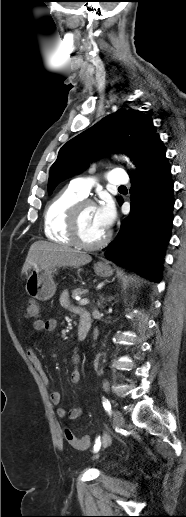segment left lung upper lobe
Masks as SVG:
<instances>
[{"mask_svg": "<svg viewBox=\"0 0 186 517\" xmlns=\"http://www.w3.org/2000/svg\"><path fill=\"white\" fill-rule=\"evenodd\" d=\"M159 140L149 116L132 109H120L60 149L50 169L48 194L60 181L83 171L90 160L104 151L123 152L138 165Z\"/></svg>", "mask_w": 186, "mask_h": 517, "instance_id": "5c2ea615", "label": "left lung upper lobe"}]
</instances>
